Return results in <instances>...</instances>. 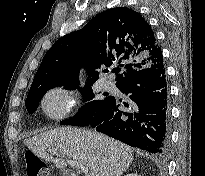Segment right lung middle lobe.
Returning <instances> with one entry per match:
<instances>
[{"instance_id":"1","label":"right lung middle lobe","mask_w":205,"mask_h":176,"mask_svg":"<svg viewBox=\"0 0 205 176\" xmlns=\"http://www.w3.org/2000/svg\"><path fill=\"white\" fill-rule=\"evenodd\" d=\"M57 85H66L67 89H75L79 83H68V84H50L43 87H40L36 90L30 91L26 99V109L32 114L38 107V104L41 98L44 96L46 91L50 88H53ZM92 84H86L82 93L85 100H92L94 98V93L91 88ZM110 97H106L104 100H93L85 104L79 111V114L69 120L63 121V125H74V126H87L88 123L93 118L94 114L100 109Z\"/></svg>"}]
</instances>
